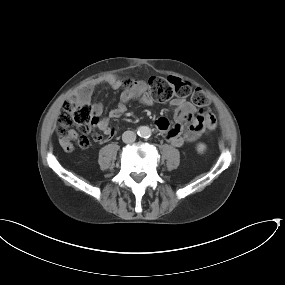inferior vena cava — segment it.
Masks as SVG:
<instances>
[{"label": "inferior vena cava", "instance_id": "obj_1", "mask_svg": "<svg viewBox=\"0 0 285 285\" xmlns=\"http://www.w3.org/2000/svg\"><path fill=\"white\" fill-rule=\"evenodd\" d=\"M122 140L124 143H133L136 140V133L133 131H125L122 134Z\"/></svg>", "mask_w": 285, "mask_h": 285}]
</instances>
